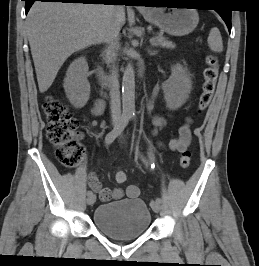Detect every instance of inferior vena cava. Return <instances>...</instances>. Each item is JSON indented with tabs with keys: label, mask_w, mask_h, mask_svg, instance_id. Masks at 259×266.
<instances>
[{
	"label": "inferior vena cava",
	"mask_w": 259,
	"mask_h": 266,
	"mask_svg": "<svg viewBox=\"0 0 259 266\" xmlns=\"http://www.w3.org/2000/svg\"><path fill=\"white\" fill-rule=\"evenodd\" d=\"M110 7V16L105 28L104 42L107 44V55L110 58V63H112L109 76L111 117L113 122H119L121 120V103L118 68L115 65V61L119 48V33L121 26L118 20V13L121 9V5H110Z\"/></svg>",
	"instance_id": "inferior-vena-cava-1"
}]
</instances>
